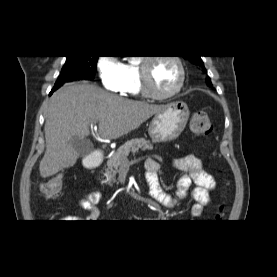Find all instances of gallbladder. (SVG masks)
Returning a JSON list of instances; mask_svg holds the SVG:
<instances>
[{"label":"gallbladder","instance_id":"gallbladder-1","mask_svg":"<svg viewBox=\"0 0 277 277\" xmlns=\"http://www.w3.org/2000/svg\"><path fill=\"white\" fill-rule=\"evenodd\" d=\"M69 145L73 147L76 152L78 153L79 156H87L90 153L93 152V144L90 142V140L85 139V138H79V137H72L69 140Z\"/></svg>","mask_w":277,"mask_h":277}]
</instances>
